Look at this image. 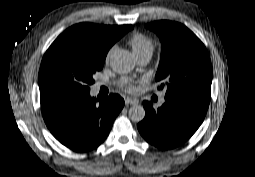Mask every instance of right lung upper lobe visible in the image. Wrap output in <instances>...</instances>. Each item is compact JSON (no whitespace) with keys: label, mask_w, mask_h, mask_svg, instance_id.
<instances>
[{"label":"right lung upper lobe","mask_w":255,"mask_h":177,"mask_svg":"<svg viewBox=\"0 0 255 177\" xmlns=\"http://www.w3.org/2000/svg\"><path fill=\"white\" fill-rule=\"evenodd\" d=\"M124 26L125 25L107 26L92 23H80L71 26L61 35H70L84 41L97 43L100 48L107 50L108 52L110 47L123 36Z\"/></svg>","instance_id":"1"}]
</instances>
